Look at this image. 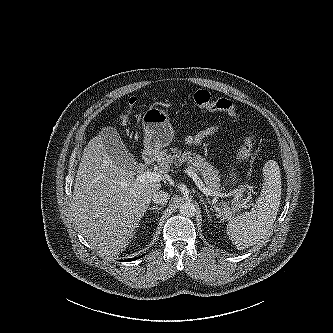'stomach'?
<instances>
[{
  "mask_svg": "<svg viewBox=\"0 0 333 333\" xmlns=\"http://www.w3.org/2000/svg\"><path fill=\"white\" fill-rule=\"evenodd\" d=\"M144 130V154L146 156H156L159 151L168 146L173 139V129L169 116L166 112L158 108H149L142 117ZM228 183L233 184L237 179L235 171L228 172Z\"/></svg>",
  "mask_w": 333,
  "mask_h": 333,
  "instance_id": "1",
  "label": "stomach"
}]
</instances>
